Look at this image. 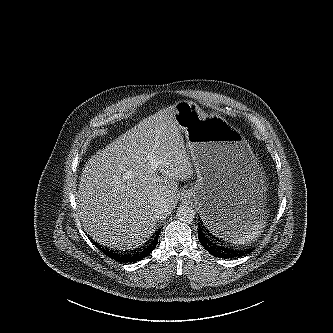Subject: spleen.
Instances as JSON below:
<instances>
[{
	"label": "spleen",
	"mask_w": 333,
	"mask_h": 333,
	"mask_svg": "<svg viewBox=\"0 0 333 333\" xmlns=\"http://www.w3.org/2000/svg\"><path fill=\"white\" fill-rule=\"evenodd\" d=\"M265 222L260 220L247 228H241L240 230L229 232L227 240L235 245L249 244L255 240L259 235L261 230L264 228Z\"/></svg>",
	"instance_id": "3e777b00"
}]
</instances>
